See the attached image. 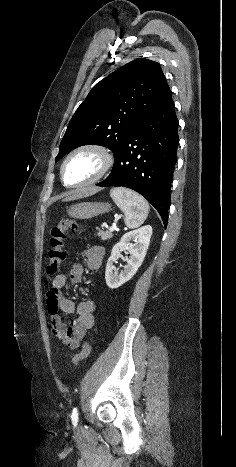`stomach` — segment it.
Here are the masks:
<instances>
[{
    "mask_svg": "<svg viewBox=\"0 0 236 467\" xmlns=\"http://www.w3.org/2000/svg\"><path fill=\"white\" fill-rule=\"evenodd\" d=\"M111 210V205L104 202H82L72 205L67 213L75 219H90Z\"/></svg>",
    "mask_w": 236,
    "mask_h": 467,
    "instance_id": "obj_1",
    "label": "stomach"
}]
</instances>
